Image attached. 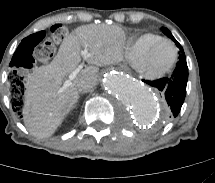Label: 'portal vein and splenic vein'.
I'll use <instances>...</instances> for the list:
<instances>
[{
    "label": "portal vein and splenic vein",
    "mask_w": 215,
    "mask_h": 183,
    "mask_svg": "<svg viewBox=\"0 0 215 183\" xmlns=\"http://www.w3.org/2000/svg\"><path fill=\"white\" fill-rule=\"evenodd\" d=\"M81 55L83 56L84 60H86L90 54L88 52V50L85 48L84 50H82L81 52ZM83 65H80L78 66L74 71H72L70 74H69V77L68 79L63 83L62 87L60 88L59 92H63L65 89H67L69 86L72 85V80H74L78 73L81 71Z\"/></svg>",
    "instance_id": "18ae733b"
}]
</instances>
